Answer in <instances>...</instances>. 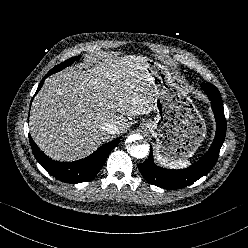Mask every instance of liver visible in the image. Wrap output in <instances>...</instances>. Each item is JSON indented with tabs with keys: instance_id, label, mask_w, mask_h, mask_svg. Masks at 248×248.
Instances as JSON below:
<instances>
[{
	"instance_id": "obj_1",
	"label": "liver",
	"mask_w": 248,
	"mask_h": 248,
	"mask_svg": "<svg viewBox=\"0 0 248 248\" xmlns=\"http://www.w3.org/2000/svg\"><path fill=\"white\" fill-rule=\"evenodd\" d=\"M147 66L145 57L125 56L47 78L29 121L37 146L54 160H77L107 141L106 123L116 124V133H122L128 117L150 113L155 89Z\"/></svg>"
}]
</instances>
